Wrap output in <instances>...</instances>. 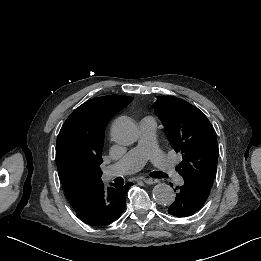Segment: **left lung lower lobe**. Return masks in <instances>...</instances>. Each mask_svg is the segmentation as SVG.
Wrapping results in <instances>:
<instances>
[{"instance_id":"1","label":"left lung lower lobe","mask_w":261,"mask_h":261,"mask_svg":"<svg viewBox=\"0 0 261 261\" xmlns=\"http://www.w3.org/2000/svg\"><path fill=\"white\" fill-rule=\"evenodd\" d=\"M183 179V185L176 189L175 201L168 208V213L176 217L195 214L206 202L211 189L196 179L188 177Z\"/></svg>"}]
</instances>
